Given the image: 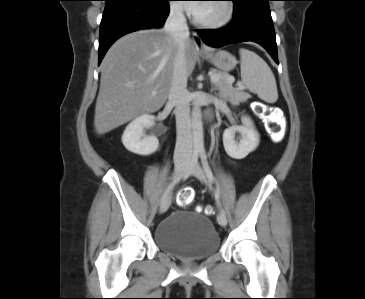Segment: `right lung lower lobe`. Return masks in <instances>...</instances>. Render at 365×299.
<instances>
[{
	"label": "right lung lower lobe",
	"mask_w": 365,
	"mask_h": 299,
	"mask_svg": "<svg viewBox=\"0 0 365 299\" xmlns=\"http://www.w3.org/2000/svg\"><path fill=\"white\" fill-rule=\"evenodd\" d=\"M168 15V0H119L106 4L100 24L98 64L117 39L139 29L161 27Z\"/></svg>",
	"instance_id": "1"
}]
</instances>
